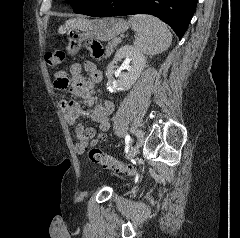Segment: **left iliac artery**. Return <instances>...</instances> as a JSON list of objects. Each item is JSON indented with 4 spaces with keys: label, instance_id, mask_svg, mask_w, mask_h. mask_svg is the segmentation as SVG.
Segmentation results:
<instances>
[{
    "label": "left iliac artery",
    "instance_id": "44dca946",
    "mask_svg": "<svg viewBox=\"0 0 240 238\" xmlns=\"http://www.w3.org/2000/svg\"><path fill=\"white\" fill-rule=\"evenodd\" d=\"M132 133H133V136H132L133 142H132V145L130 146V148L127 150L128 152L130 150H134L136 148V146H140V144H141L140 141H138L139 140L138 137L140 135L139 132H137L136 129H133ZM127 151L125 152L126 154L128 153Z\"/></svg>",
    "mask_w": 240,
    "mask_h": 238
}]
</instances>
